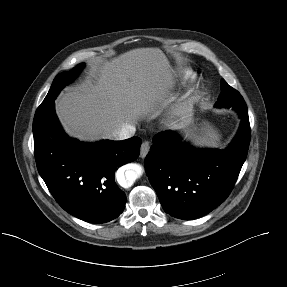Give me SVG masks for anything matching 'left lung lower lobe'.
Instances as JSON below:
<instances>
[{"label":"left lung lower lobe","instance_id":"obj_1","mask_svg":"<svg viewBox=\"0 0 287 287\" xmlns=\"http://www.w3.org/2000/svg\"><path fill=\"white\" fill-rule=\"evenodd\" d=\"M239 131L223 150L197 149L172 131L153 137L145 159L146 174L166 213L191 220L219 206L231 192L250 143L247 106L236 110Z\"/></svg>","mask_w":287,"mask_h":287}]
</instances>
